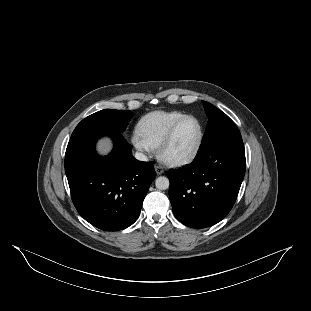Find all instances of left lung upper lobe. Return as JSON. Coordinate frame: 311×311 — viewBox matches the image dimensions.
I'll list each match as a JSON object with an SVG mask.
<instances>
[{
    "label": "left lung upper lobe",
    "instance_id": "obj_1",
    "mask_svg": "<svg viewBox=\"0 0 311 311\" xmlns=\"http://www.w3.org/2000/svg\"><path fill=\"white\" fill-rule=\"evenodd\" d=\"M202 103L208 116V124L199 151L222 139L241 136L237 126L225 113L206 101Z\"/></svg>",
    "mask_w": 311,
    "mask_h": 311
}]
</instances>
